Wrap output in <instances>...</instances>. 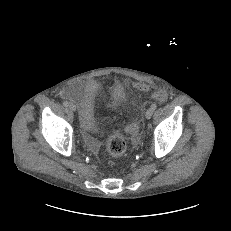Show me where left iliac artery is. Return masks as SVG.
Returning a JSON list of instances; mask_svg holds the SVG:
<instances>
[{
	"mask_svg": "<svg viewBox=\"0 0 231 231\" xmlns=\"http://www.w3.org/2000/svg\"><path fill=\"white\" fill-rule=\"evenodd\" d=\"M157 108V105L156 104H152L151 105V109L154 111L155 109Z\"/></svg>",
	"mask_w": 231,
	"mask_h": 231,
	"instance_id": "obj_1",
	"label": "left iliac artery"
}]
</instances>
